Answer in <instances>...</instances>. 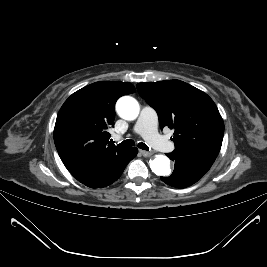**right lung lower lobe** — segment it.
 <instances>
[{
	"label": "right lung lower lobe",
	"instance_id": "1",
	"mask_svg": "<svg viewBox=\"0 0 267 267\" xmlns=\"http://www.w3.org/2000/svg\"><path fill=\"white\" fill-rule=\"evenodd\" d=\"M137 153V148H128L123 154L102 164L98 170L81 183L90 188H101L112 184L121 176L126 165L136 157Z\"/></svg>",
	"mask_w": 267,
	"mask_h": 267
}]
</instances>
